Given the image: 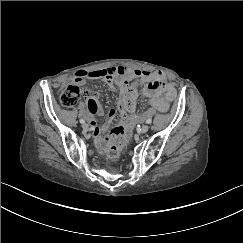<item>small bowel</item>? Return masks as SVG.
I'll use <instances>...</instances> for the list:
<instances>
[{"mask_svg":"<svg viewBox=\"0 0 243 243\" xmlns=\"http://www.w3.org/2000/svg\"><path fill=\"white\" fill-rule=\"evenodd\" d=\"M100 78L105 80L112 89L117 87L118 78H138L145 84L143 95L148 98L150 105L160 112H166L169 109L170 102L176 95L175 89L166 81L165 74L161 71H140L130 70L127 67H109L95 71H78L74 74L72 82L77 85H83L87 79ZM86 102L91 115L93 116V133L98 136L102 123L103 110L99 104L96 93L86 91ZM116 112L110 110L107 120L114 119Z\"/></svg>","mask_w":243,"mask_h":243,"instance_id":"small-bowel-1","label":"small bowel"}]
</instances>
